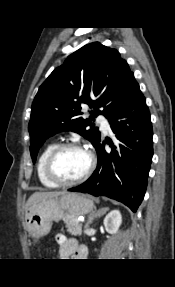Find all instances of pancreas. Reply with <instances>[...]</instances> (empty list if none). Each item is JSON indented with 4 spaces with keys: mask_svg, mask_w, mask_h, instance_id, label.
Wrapping results in <instances>:
<instances>
[{
    "mask_svg": "<svg viewBox=\"0 0 175 287\" xmlns=\"http://www.w3.org/2000/svg\"><path fill=\"white\" fill-rule=\"evenodd\" d=\"M63 221L67 227V231L73 236H80L82 234V225L79 223L77 217L66 214Z\"/></svg>",
    "mask_w": 175,
    "mask_h": 287,
    "instance_id": "cf45deb5",
    "label": "pancreas"
}]
</instances>
